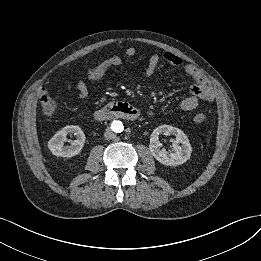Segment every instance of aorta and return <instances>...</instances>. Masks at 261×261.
Returning a JSON list of instances; mask_svg holds the SVG:
<instances>
[{"label": "aorta", "instance_id": "obj_1", "mask_svg": "<svg viewBox=\"0 0 261 261\" xmlns=\"http://www.w3.org/2000/svg\"><path fill=\"white\" fill-rule=\"evenodd\" d=\"M111 129L115 133H121L124 130V125L120 120H114L111 124Z\"/></svg>", "mask_w": 261, "mask_h": 261}]
</instances>
